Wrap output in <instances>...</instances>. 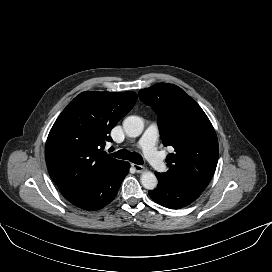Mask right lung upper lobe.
<instances>
[{
  "label": "right lung upper lobe",
  "mask_w": 272,
  "mask_h": 272,
  "mask_svg": "<svg viewBox=\"0 0 272 272\" xmlns=\"http://www.w3.org/2000/svg\"><path fill=\"white\" fill-rule=\"evenodd\" d=\"M136 100L134 92L85 91L67 105L49 132L45 150L59 190L87 186L119 161L101 150Z\"/></svg>",
  "instance_id": "cb5924a9"
}]
</instances>
